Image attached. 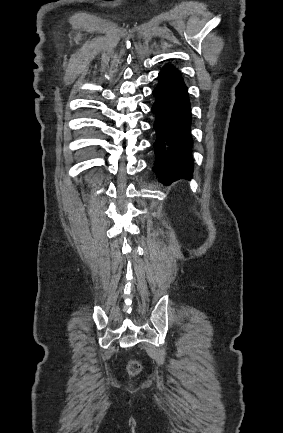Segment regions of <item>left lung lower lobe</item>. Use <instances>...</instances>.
I'll return each mask as SVG.
<instances>
[{
    "label": "left lung lower lobe",
    "mask_w": 283,
    "mask_h": 433,
    "mask_svg": "<svg viewBox=\"0 0 283 433\" xmlns=\"http://www.w3.org/2000/svg\"><path fill=\"white\" fill-rule=\"evenodd\" d=\"M158 79L152 106L156 131L153 171L161 183L170 184L193 177L190 102L187 87L174 66L166 65Z\"/></svg>",
    "instance_id": "obj_1"
}]
</instances>
